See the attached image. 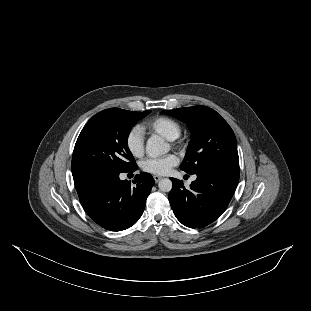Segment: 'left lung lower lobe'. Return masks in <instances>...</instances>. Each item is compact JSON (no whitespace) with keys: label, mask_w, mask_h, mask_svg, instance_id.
Wrapping results in <instances>:
<instances>
[{"label":"left lung lower lobe","mask_w":311,"mask_h":311,"mask_svg":"<svg viewBox=\"0 0 311 311\" xmlns=\"http://www.w3.org/2000/svg\"><path fill=\"white\" fill-rule=\"evenodd\" d=\"M197 179L186 189L171 178L169 201L176 218L190 228H202L226 210L239 181V166L224 165L194 173Z\"/></svg>","instance_id":"obj_1"}]
</instances>
